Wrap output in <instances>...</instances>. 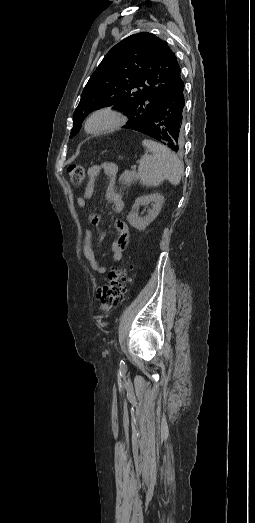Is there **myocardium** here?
I'll list each match as a JSON object with an SVG mask.
<instances>
[{"mask_svg": "<svg viewBox=\"0 0 255 523\" xmlns=\"http://www.w3.org/2000/svg\"><path fill=\"white\" fill-rule=\"evenodd\" d=\"M99 119H105V123L98 125ZM127 122V117L120 111L104 107L93 110L84 120L83 128L86 134L101 136L113 133L121 129Z\"/></svg>", "mask_w": 255, "mask_h": 523, "instance_id": "obj_1", "label": "myocardium"}]
</instances>
